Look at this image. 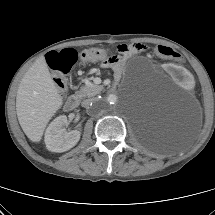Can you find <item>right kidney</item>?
Segmentation results:
<instances>
[{"label": "right kidney", "mask_w": 215, "mask_h": 215, "mask_svg": "<svg viewBox=\"0 0 215 215\" xmlns=\"http://www.w3.org/2000/svg\"><path fill=\"white\" fill-rule=\"evenodd\" d=\"M67 117L61 115L55 118L47 127L45 132V144L51 152H65L73 148L80 140V130L67 132Z\"/></svg>", "instance_id": "obj_1"}]
</instances>
